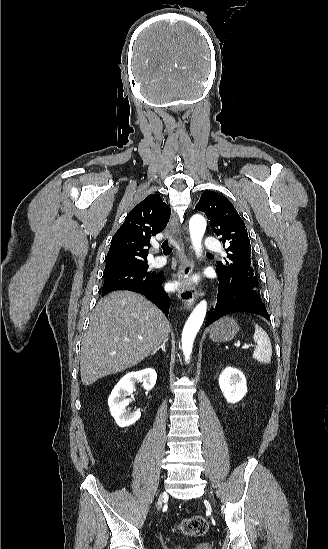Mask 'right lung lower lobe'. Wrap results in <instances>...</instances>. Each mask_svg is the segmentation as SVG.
Instances as JSON below:
<instances>
[{
    "mask_svg": "<svg viewBox=\"0 0 328 549\" xmlns=\"http://www.w3.org/2000/svg\"><path fill=\"white\" fill-rule=\"evenodd\" d=\"M163 277L164 274L160 273L158 274L157 278L148 286L129 287L125 290H130L145 295L149 300L154 302L157 307H159L162 312L168 317L170 301L169 296L162 286Z\"/></svg>",
    "mask_w": 328,
    "mask_h": 549,
    "instance_id": "obj_1",
    "label": "right lung lower lobe"
}]
</instances>
